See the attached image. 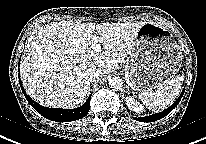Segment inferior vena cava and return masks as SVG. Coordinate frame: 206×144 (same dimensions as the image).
<instances>
[{
    "label": "inferior vena cava",
    "mask_w": 206,
    "mask_h": 144,
    "mask_svg": "<svg viewBox=\"0 0 206 144\" xmlns=\"http://www.w3.org/2000/svg\"><path fill=\"white\" fill-rule=\"evenodd\" d=\"M101 72L99 69L96 68H91L89 69V71L87 72V79L90 82H96L100 79L101 77Z\"/></svg>",
    "instance_id": "inferior-vena-cava-1"
}]
</instances>
